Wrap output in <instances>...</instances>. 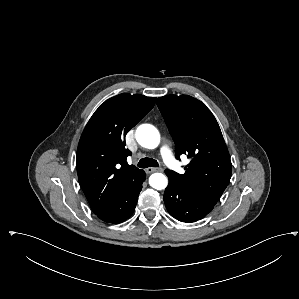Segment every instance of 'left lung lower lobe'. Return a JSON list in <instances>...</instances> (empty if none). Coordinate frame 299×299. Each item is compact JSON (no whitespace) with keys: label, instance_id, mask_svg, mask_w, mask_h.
I'll use <instances>...</instances> for the list:
<instances>
[{"label":"left lung lower lobe","instance_id":"0a47b994","mask_svg":"<svg viewBox=\"0 0 299 299\" xmlns=\"http://www.w3.org/2000/svg\"><path fill=\"white\" fill-rule=\"evenodd\" d=\"M164 202L168 212L182 222L201 220L214 207V204L171 178H169V184L164 193Z\"/></svg>","mask_w":299,"mask_h":299}]
</instances>
